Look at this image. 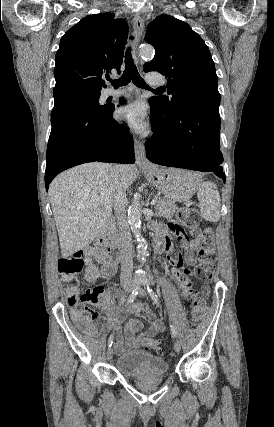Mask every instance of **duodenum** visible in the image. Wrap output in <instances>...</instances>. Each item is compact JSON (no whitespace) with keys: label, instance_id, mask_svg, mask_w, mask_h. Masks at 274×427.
<instances>
[{"label":"duodenum","instance_id":"duodenum-1","mask_svg":"<svg viewBox=\"0 0 274 427\" xmlns=\"http://www.w3.org/2000/svg\"><path fill=\"white\" fill-rule=\"evenodd\" d=\"M155 232L157 235L156 244H155L156 250L158 252H162L169 245L170 240L166 236V230L164 227L156 226ZM101 238L109 246L108 250H109L110 257L115 262H118L120 260V245L116 240V237L113 232V226L111 223H108L104 227Z\"/></svg>","mask_w":274,"mask_h":427}]
</instances>
